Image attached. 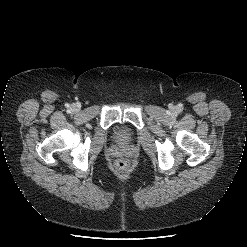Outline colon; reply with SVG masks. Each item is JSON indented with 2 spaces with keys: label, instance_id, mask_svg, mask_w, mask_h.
Here are the masks:
<instances>
[{
  "label": "colon",
  "instance_id": "obj_1",
  "mask_svg": "<svg viewBox=\"0 0 247 247\" xmlns=\"http://www.w3.org/2000/svg\"><path fill=\"white\" fill-rule=\"evenodd\" d=\"M129 168H130V163L126 159H119L116 162V169L119 172H127L129 170Z\"/></svg>",
  "mask_w": 247,
  "mask_h": 247
}]
</instances>
